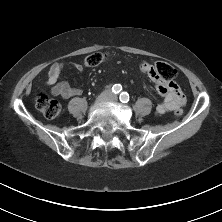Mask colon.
I'll return each mask as SVG.
<instances>
[{"label": "colon", "mask_w": 222, "mask_h": 222, "mask_svg": "<svg viewBox=\"0 0 222 222\" xmlns=\"http://www.w3.org/2000/svg\"><path fill=\"white\" fill-rule=\"evenodd\" d=\"M108 57V54L103 51H96L88 54L83 62L85 66L95 67L102 64ZM155 70L165 79V82H171L176 77V70L173 66L166 62H156L152 64ZM146 68V67H145ZM36 107L47 118L54 119L61 112L60 103L50 98L47 94L41 92L38 93L35 98ZM182 114L181 109L174 110V115L179 117Z\"/></svg>", "instance_id": "1"}]
</instances>
